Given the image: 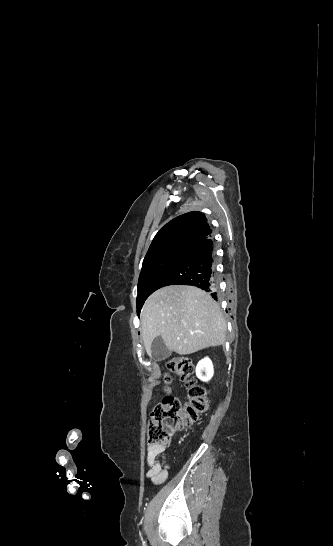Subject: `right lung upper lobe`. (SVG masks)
Segmentation results:
<instances>
[{
  "label": "right lung upper lobe",
  "mask_w": 333,
  "mask_h": 546,
  "mask_svg": "<svg viewBox=\"0 0 333 546\" xmlns=\"http://www.w3.org/2000/svg\"><path fill=\"white\" fill-rule=\"evenodd\" d=\"M211 235L212 230L205 215L197 211L188 212L174 218L159 230L145 258L169 248L191 249Z\"/></svg>",
  "instance_id": "right-lung-upper-lobe-1"
}]
</instances>
